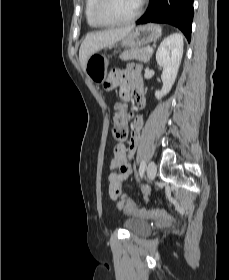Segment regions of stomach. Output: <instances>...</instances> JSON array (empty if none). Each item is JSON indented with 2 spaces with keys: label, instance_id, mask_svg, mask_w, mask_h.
<instances>
[{
  "label": "stomach",
  "instance_id": "stomach-1",
  "mask_svg": "<svg viewBox=\"0 0 229 280\" xmlns=\"http://www.w3.org/2000/svg\"><path fill=\"white\" fill-rule=\"evenodd\" d=\"M161 35V28L155 24H146L134 28L121 40L124 47L139 48L156 41ZM108 59L105 56L93 54L88 57L84 71L95 83H103L107 76Z\"/></svg>",
  "mask_w": 229,
  "mask_h": 280
}]
</instances>
